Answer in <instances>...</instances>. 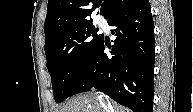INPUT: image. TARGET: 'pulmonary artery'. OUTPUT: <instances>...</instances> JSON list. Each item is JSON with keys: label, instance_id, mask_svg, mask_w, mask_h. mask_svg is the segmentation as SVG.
Here are the masks:
<instances>
[{"label": "pulmonary artery", "instance_id": "pulmonary-artery-1", "mask_svg": "<svg viewBox=\"0 0 193 112\" xmlns=\"http://www.w3.org/2000/svg\"><path fill=\"white\" fill-rule=\"evenodd\" d=\"M97 22L100 24V25H102L103 24V19L102 18H97Z\"/></svg>", "mask_w": 193, "mask_h": 112}]
</instances>
